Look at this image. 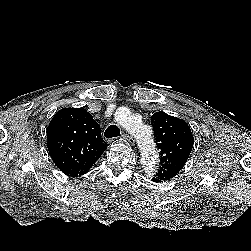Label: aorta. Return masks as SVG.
<instances>
[{
	"mask_svg": "<svg viewBox=\"0 0 251 251\" xmlns=\"http://www.w3.org/2000/svg\"><path fill=\"white\" fill-rule=\"evenodd\" d=\"M116 120L135 138L145 170L153 172L158 163V156L150 128L144 125L139 117L123 115L120 110L116 113Z\"/></svg>",
	"mask_w": 251,
	"mask_h": 251,
	"instance_id": "762f6f07",
	"label": "aorta"
}]
</instances>
